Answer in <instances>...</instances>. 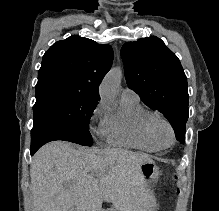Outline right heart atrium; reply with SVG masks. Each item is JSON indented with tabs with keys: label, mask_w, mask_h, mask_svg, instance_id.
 <instances>
[{
	"label": "right heart atrium",
	"mask_w": 219,
	"mask_h": 211,
	"mask_svg": "<svg viewBox=\"0 0 219 211\" xmlns=\"http://www.w3.org/2000/svg\"><path fill=\"white\" fill-rule=\"evenodd\" d=\"M107 105L105 102H100L98 105L95 106V108L92 110L90 119L91 121H95L98 118H101L99 126H98V134L99 135H105L106 133V126H107Z\"/></svg>",
	"instance_id": "right-heart-atrium-1"
}]
</instances>
